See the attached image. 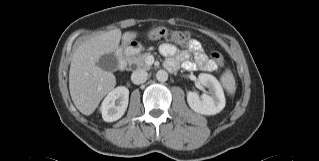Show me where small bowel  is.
<instances>
[{
    "label": "small bowel",
    "mask_w": 319,
    "mask_h": 161,
    "mask_svg": "<svg viewBox=\"0 0 319 161\" xmlns=\"http://www.w3.org/2000/svg\"><path fill=\"white\" fill-rule=\"evenodd\" d=\"M160 53L169 57L167 66L171 69L177 68L180 63L186 70H204L212 71L215 68L211 66V61L207 60L201 44L196 40H191L188 44V49L178 52L177 48L172 44H163L160 47ZM193 53L194 61H190V54ZM176 56V57H174Z\"/></svg>",
    "instance_id": "small-bowel-1"
}]
</instances>
